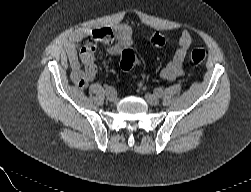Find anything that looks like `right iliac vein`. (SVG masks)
I'll return each mask as SVG.
<instances>
[{"label":"right iliac vein","mask_w":251,"mask_h":192,"mask_svg":"<svg viewBox=\"0 0 251 192\" xmlns=\"http://www.w3.org/2000/svg\"><path fill=\"white\" fill-rule=\"evenodd\" d=\"M107 99L111 102H116L117 101V95L115 92H111L107 94Z\"/></svg>","instance_id":"63e3f726"}]
</instances>
